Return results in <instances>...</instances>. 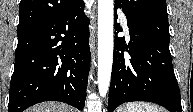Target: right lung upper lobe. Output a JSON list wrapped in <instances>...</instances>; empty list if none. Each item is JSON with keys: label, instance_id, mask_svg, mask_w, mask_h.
Returning a JSON list of instances; mask_svg holds the SVG:
<instances>
[{"label": "right lung upper lobe", "instance_id": "cb5924a9", "mask_svg": "<svg viewBox=\"0 0 193 112\" xmlns=\"http://www.w3.org/2000/svg\"><path fill=\"white\" fill-rule=\"evenodd\" d=\"M81 0H21L17 33L36 27L71 9Z\"/></svg>", "mask_w": 193, "mask_h": 112}]
</instances>
